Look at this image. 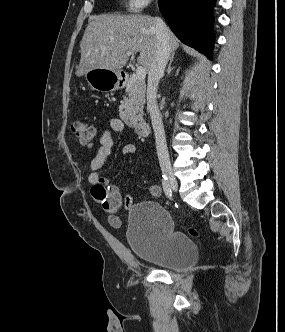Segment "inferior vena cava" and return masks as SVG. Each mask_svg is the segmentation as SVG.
I'll return each instance as SVG.
<instances>
[{"label": "inferior vena cava", "instance_id": "1", "mask_svg": "<svg viewBox=\"0 0 285 332\" xmlns=\"http://www.w3.org/2000/svg\"><path fill=\"white\" fill-rule=\"evenodd\" d=\"M169 56L168 28L160 18H156V50L148 73L147 109L151 116L159 162L167 164L170 162V159L156 95L158 84L164 75Z\"/></svg>", "mask_w": 285, "mask_h": 332}]
</instances>
